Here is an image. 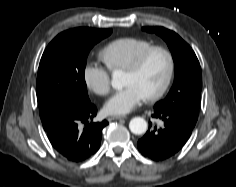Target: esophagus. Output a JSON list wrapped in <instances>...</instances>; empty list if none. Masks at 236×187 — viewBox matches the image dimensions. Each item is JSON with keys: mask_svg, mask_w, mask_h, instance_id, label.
Listing matches in <instances>:
<instances>
[{"mask_svg": "<svg viewBox=\"0 0 236 187\" xmlns=\"http://www.w3.org/2000/svg\"><path fill=\"white\" fill-rule=\"evenodd\" d=\"M126 116H112L110 119L111 120H121V119H125Z\"/></svg>", "mask_w": 236, "mask_h": 187, "instance_id": "obj_1", "label": "esophagus"}]
</instances>
